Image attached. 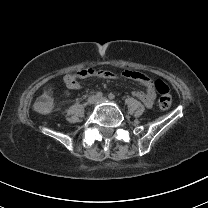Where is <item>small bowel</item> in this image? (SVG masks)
Returning a JSON list of instances; mask_svg holds the SVG:
<instances>
[{"label":"small bowel","instance_id":"1","mask_svg":"<svg viewBox=\"0 0 208 208\" xmlns=\"http://www.w3.org/2000/svg\"><path fill=\"white\" fill-rule=\"evenodd\" d=\"M80 74V79L86 78L88 76H94V77H100V78H111L114 76V73L109 70H97L92 71L91 68H88L87 70L78 71ZM122 75L128 79L134 80L141 84L142 87H144V90H136L133 92L134 97L140 99L143 101V103L147 107H151L155 101V91L152 87V84L149 80V78L141 73L136 72H124ZM66 86L71 90H79L81 88L79 82L76 85H69L65 81Z\"/></svg>","mask_w":208,"mask_h":208}]
</instances>
